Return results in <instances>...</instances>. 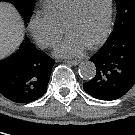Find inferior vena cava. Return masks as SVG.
<instances>
[{
    "mask_svg": "<svg viewBox=\"0 0 135 135\" xmlns=\"http://www.w3.org/2000/svg\"><path fill=\"white\" fill-rule=\"evenodd\" d=\"M52 43V40H47V41H45L44 43H42V47L43 48H45V47H47L48 45H50Z\"/></svg>",
    "mask_w": 135,
    "mask_h": 135,
    "instance_id": "1",
    "label": "inferior vena cava"
}]
</instances>
